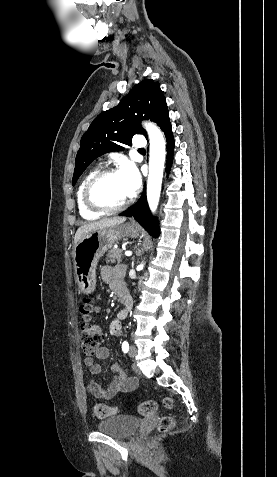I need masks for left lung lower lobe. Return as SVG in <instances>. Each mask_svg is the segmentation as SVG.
I'll use <instances>...</instances> for the list:
<instances>
[{
  "label": "left lung lower lobe",
  "instance_id": "0a47b994",
  "mask_svg": "<svg viewBox=\"0 0 277 477\" xmlns=\"http://www.w3.org/2000/svg\"><path fill=\"white\" fill-rule=\"evenodd\" d=\"M161 129L165 133V137L167 141L166 171L168 172L171 167L173 149H174V139H173V133H172L170 121H168ZM120 216H127V217L132 216L151 235H153L154 237H157L159 234L158 224L155 218L152 217L148 207L145 190L143 191V194L141 198L139 199V202L135 206H132L128 210L121 213Z\"/></svg>",
  "mask_w": 277,
  "mask_h": 477
}]
</instances>
